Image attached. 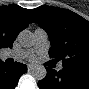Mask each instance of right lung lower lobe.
Masks as SVG:
<instances>
[{
	"mask_svg": "<svg viewBox=\"0 0 89 89\" xmlns=\"http://www.w3.org/2000/svg\"><path fill=\"white\" fill-rule=\"evenodd\" d=\"M27 71V66L15 62L13 65H6L0 61V86L2 89H14L22 74Z\"/></svg>",
	"mask_w": 89,
	"mask_h": 89,
	"instance_id": "obj_1",
	"label": "right lung lower lobe"
}]
</instances>
